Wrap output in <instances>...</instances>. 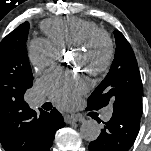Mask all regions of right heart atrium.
<instances>
[{"label": "right heart atrium", "mask_w": 151, "mask_h": 151, "mask_svg": "<svg viewBox=\"0 0 151 151\" xmlns=\"http://www.w3.org/2000/svg\"><path fill=\"white\" fill-rule=\"evenodd\" d=\"M59 54L60 50L47 38H33L27 46V56L35 71L53 65Z\"/></svg>", "instance_id": "1"}]
</instances>
